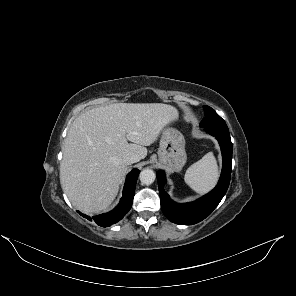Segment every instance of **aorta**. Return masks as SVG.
<instances>
[{"instance_id":"1","label":"aorta","mask_w":296,"mask_h":296,"mask_svg":"<svg viewBox=\"0 0 296 296\" xmlns=\"http://www.w3.org/2000/svg\"><path fill=\"white\" fill-rule=\"evenodd\" d=\"M141 183L145 185H150L155 181L156 175L151 169H144L139 175Z\"/></svg>"}]
</instances>
